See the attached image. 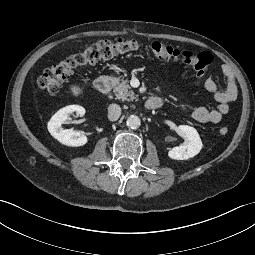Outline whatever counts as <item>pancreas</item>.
Listing matches in <instances>:
<instances>
[{
	"label": "pancreas",
	"instance_id": "1",
	"mask_svg": "<svg viewBox=\"0 0 255 255\" xmlns=\"http://www.w3.org/2000/svg\"><path fill=\"white\" fill-rule=\"evenodd\" d=\"M120 78H115L113 80L114 82V94L117 99H121L123 101H133L137 99V96L134 94V92L131 90L130 85L128 84V80H122L121 82Z\"/></svg>",
	"mask_w": 255,
	"mask_h": 255
}]
</instances>
